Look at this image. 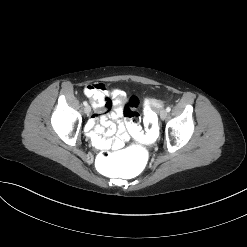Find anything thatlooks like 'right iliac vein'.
<instances>
[{"label": "right iliac vein", "mask_w": 247, "mask_h": 247, "mask_svg": "<svg viewBox=\"0 0 247 247\" xmlns=\"http://www.w3.org/2000/svg\"><path fill=\"white\" fill-rule=\"evenodd\" d=\"M84 111L87 115H89L91 112V107L89 105L85 106Z\"/></svg>", "instance_id": "right-iliac-vein-1"}]
</instances>
